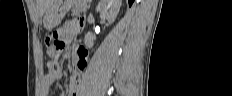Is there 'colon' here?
Listing matches in <instances>:
<instances>
[{
	"instance_id": "colon-1",
	"label": "colon",
	"mask_w": 232,
	"mask_h": 96,
	"mask_svg": "<svg viewBox=\"0 0 232 96\" xmlns=\"http://www.w3.org/2000/svg\"><path fill=\"white\" fill-rule=\"evenodd\" d=\"M46 45L51 49V54L54 57H58L59 51L65 46L58 32H53L46 38ZM59 64L56 62H51L49 68L51 71L55 72L59 69Z\"/></svg>"
}]
</instances>
